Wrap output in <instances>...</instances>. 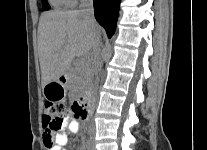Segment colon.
<instances>
[{"mask_svg": "<svg viewBox=\"0 0 207 150\" xmlns=\"http://www.w3.org/2000/svg\"><path fill=\"white\" fill-rule=\"evenodd\" d=\"M76 115H80L76 107H74ZM67 119V107L62 102L53 100L45 102L43 113V126L45 133H42V138H46L45 145H52L51 134L61 130Z\"/></svg>", "mask_w": 207, "mask_h": 150, "instance_id": "1", "label": "colon"}]
</instances>
